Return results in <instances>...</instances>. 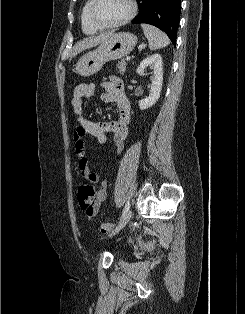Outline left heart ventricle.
<instances>
[{
    "mask_svg": "<svg viewBox=\"0 0 245 314\" xmlns=\"http://www.w3.org/2000/svg\"><path fill=\"white\" fill-rule=\"evenodd\" d=\"M128 0H98L96 4V16L103 23H113L129 12Z\"/></svg>",
    "mask_w": 245,
    "mask_h": 314,
    "instance_id": "b2bd125f",
    "label": "left heart ventricle"
}]
</instances>
